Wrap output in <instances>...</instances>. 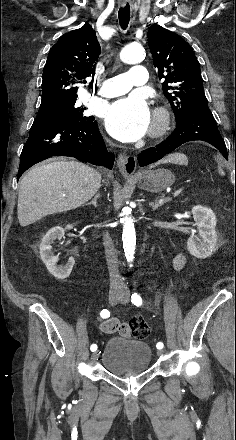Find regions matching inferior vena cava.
<instances>
[{
  "label": "inferior vena cava",
  "mask_w": 236,
  "mask_h": 440,
  "mask_svg": "<svg viewBox=\"0 0 236 440\" xmlns=\"http://www.w3.org/2000/svg\"><path fill=\"white\" fill-rule=\"evenodd\" d=\"M103 245L105 248V255L109 270L110 276V287L111 288H120L124 285L121 276L119 274V262L117 257V251L114 247L112 239L110 238L109 233H104L103 235Z\"/></svg>",
  "instance_id": "inferior-vena-cava-1"
}]
</instances>
